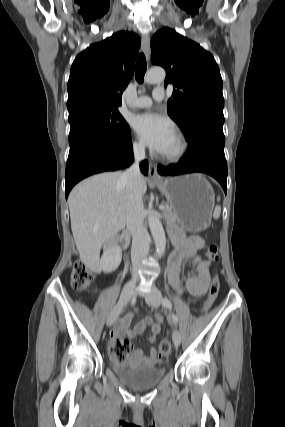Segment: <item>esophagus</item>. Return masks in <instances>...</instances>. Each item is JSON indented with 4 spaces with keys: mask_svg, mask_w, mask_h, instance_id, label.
I'll return each instance as SVG.
<instances>
[{
    "mask_svg": "<svg viewBox=\"0 0 285 427\" xmlns=\"http://www.w3.org/2000/svg\"><path fill=\"white\" fill-rule=\"evenodd\" d=\"M142 48L147 60L150 58V38L148 34L142 35ZM149 179L153 181H160L162 178L157 173V167L152 162L149 163Z\"/></svg>",
    "mask_w": 285,
    "mask_h": 427,
    "instance_id": "34e87169",
    "label": "esophagus"
}]
</instances>
